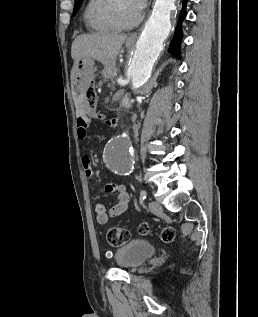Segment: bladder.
<instances>
[{"label": "bladder", "instance_id": "31cf9c89", "mask_svg": "<svg viewBox=\"0 0 258 317\" xmlns=\"http://www.w3.org/2000/svg\"><path fill=\"white\" fill-rule=\"evenodd\" d=\"M156 251L155 246L145 240H133L115 252L114 259L118 267L133 269L150 258Z\"/></svg>", "mask_w": 258, "mask_h": 317}]
</instances>
